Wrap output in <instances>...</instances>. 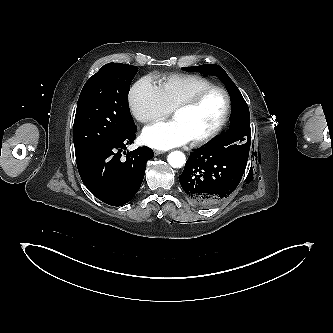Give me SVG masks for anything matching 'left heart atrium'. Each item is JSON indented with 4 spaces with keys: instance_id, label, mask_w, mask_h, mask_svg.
<instances>
[{
    "instance_id": "1",
    "label": "left heart atrium",
    "mask_w": 333,
    "mask_h": 333,
    "mask_svg": "<svg viewBox=\"0 0 333 333\" xmlns=\"http://www.w3.org/2000/svg\"><path fill=\"white\" fill-rule=\"evenodd\" d=\"M143 142L155 149L167 150L187 144L191 138L176 120L147 126L142 132Z\"/></svg>"
}]
</instances>
